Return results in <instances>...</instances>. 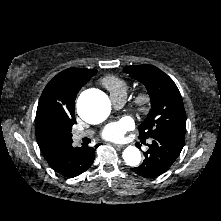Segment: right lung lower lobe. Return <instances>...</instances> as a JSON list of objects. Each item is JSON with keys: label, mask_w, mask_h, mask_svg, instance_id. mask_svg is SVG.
Here are the masks:
<instances>
[{"label": "right lung lower lobe", "mask_w": 221, "mask_h": 221, "mask_svg": "<svg viewBox=\"0 0 221 221\" xmlns=\"http://www.w3.org/2000/svg\"><path fill=\"white\" fill-rule=\"evenodd\" d=\"M97 146L92 148L83 144L82 147H73L71 142L58 147L45 159L57 173L67 178H73L85 172L92 165Z\"/></svg>", "instance_id": "obj_1"}]
</instances>
